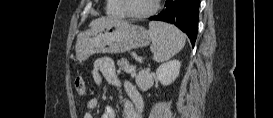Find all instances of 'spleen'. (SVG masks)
Wrapping results in <instances>:
<instances>
[{
  "label": "spleen",
  "mask_w": 273,
  "mask_h": 118,
  "mask_svg": "<svg viewBox=\"0 0 273 118\" xmlns=\"http://www.w3.org/2000/svg\"><path fill=\"white\" fill-rule=\"evenodd\" d=\"M149 31L153 45V58L156 62L169 60L185 46L184 34L170 24L150 22Z\"/></svg>",
  "instance_id": "obj_1"
}]
</instances>
